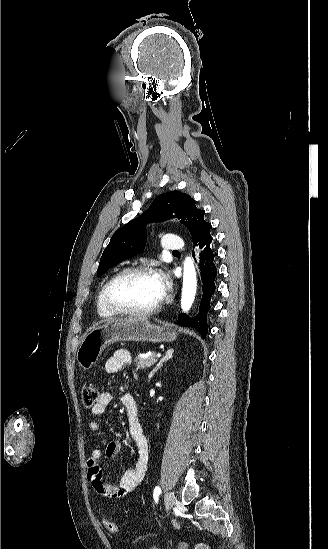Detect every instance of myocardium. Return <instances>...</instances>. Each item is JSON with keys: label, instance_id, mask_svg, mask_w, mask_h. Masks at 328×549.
<instances>
[{"label": "myocardium", "instance_id": "1", "mask_svg": "<svg viewBox=\"0 0 328 549\" xmlns=\"http://www.w3.org/2000/svg\"><path fill=\"white\" fill-rule=\"evenodd\" d=\"M163 266L162 263L158 260H145L141 262H136L130 265L125 266L120 270L116 275H114L105 285L103 290V301L105 304L106 312L111 316H150L156 313L163 301L164 296H162L156 303L151 307L145 309H118L113 305L115 304L111 298V292L114 286L122 280L124 277L138 272H151L156 273L152 267Z\"/></svg>", "mask_w": 328, "mask_h": 549}]
</instances>
